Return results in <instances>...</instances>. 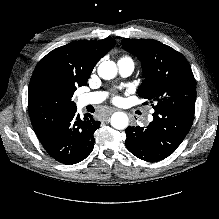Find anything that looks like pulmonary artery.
Returning a JSON list of instances; mask_svg holds the SVG:
<instances>
[{
	"instance_id": "1",
	"label": "pulmonary artery",
	"mask_w": 219,
	"mask_h": 219,
	"mask_svg": "<svg viewBox=\"0 0 219 219\" xmlns=\"http://www.w3.org/2000/svg\"><path fill=\"white\" fill-rule=\"evenodd\" d=\"M134 62L132 59H121L118 61V69L122 76L127 77L134 71ZM105 98L103 92H91L80 96L79 103L81 107L101 103Z\"/></svg>"
}]
</instances>
